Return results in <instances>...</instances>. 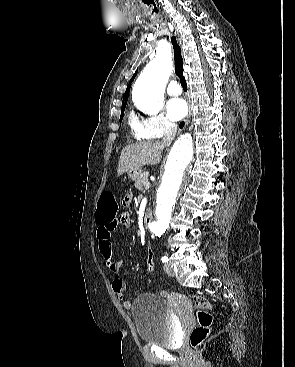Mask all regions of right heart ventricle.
I'll return each instance as SVG.
<instances>
[{"label":"right heart ventricle","instance_id":"right-heart-ventricle-1","mask_svg":"<svg viewBox=\"0 0 295 367\" xmlns=\"http://www.w3.org/2000/svg\"><path fill=\"white\" fill-rule=\"evenodd\" d=\"M135 120H136L135 116L133 114H130V116H129V123H130L131 126L133 125V123H134Z\"/></svg>","mask_w":295,"mask_h":367}]
</instances>
